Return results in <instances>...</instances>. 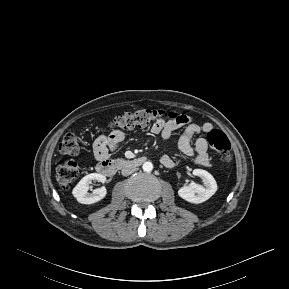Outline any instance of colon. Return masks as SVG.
Here are the masks:
<instances>
[{
  "mask_svg": "<svg viewBox=\"0 0 289 289\" xmlns=\"http://www.w3.org/2000/svg\"><path fill=\"white\" fill-rule=\"evenodd\" d=\"M179 114L173 111L140 109L134 112H125L114 117L108 130L112 133L117 130H130L136 127H145L159 120H172ZM210 147L218 154L224 155L226 160L231 159V144L228 137L220 130L213 129L207 135ZM59 151L65 155H77L79 144L74 134H67L59 145ZM79 167L75 161H61L56 167V177L60 186L70 188L78 177Z\"/></svg>",
  "mask_w": 289,
  "mask_h": 289,
  "instance_id": "5ec220e1",
  "label": "colon"
}]
</instances>
